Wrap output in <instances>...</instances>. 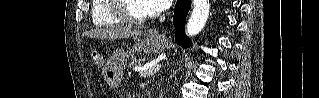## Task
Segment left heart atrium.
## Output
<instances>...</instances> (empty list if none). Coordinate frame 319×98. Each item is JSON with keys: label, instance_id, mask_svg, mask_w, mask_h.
Segmentation results:
<instances>
[{"label": "left heart atrium", "instance_id": "obj_1", "mask_svg": "<svg viewBox=\"0 0 319 98\" xmlns=\"http://www.w3.org/2000/svg\"><path fill=\"white\" fill-rule=\"evenodd\" d=\"M145 2L147 3V8L151 13L159 14L170 7L172 0H145Z\"/></svg>", "mask_w": 319, "mask_h": 98}]
</instances>
